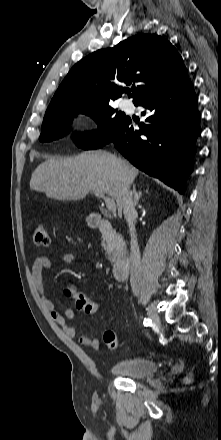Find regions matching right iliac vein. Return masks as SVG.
I'll use <instances>...</instances> for the list:
<instances>
[{"label": "right iliac vein", "instance_id": "obj_1", "mask_svg": "<svg viewBox=\"0 0 221 440\" xmlns=\"http://www.w3.org/2000/svg\"><path fill=\"white\" fill-rule=\"evenodd\" d=\"M147 314H148V317L150 318V320L152 321V323H153L155 326H158V325L160 324V318H159V315H158V313H157V311H156V308L154 307L153 304H150V305L148 306V308H147Z\"/></svg>", "mask_w": 221, "mask_h": 440}]
</instances>
